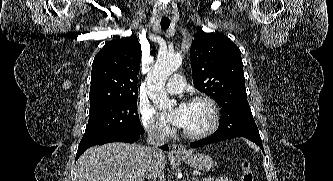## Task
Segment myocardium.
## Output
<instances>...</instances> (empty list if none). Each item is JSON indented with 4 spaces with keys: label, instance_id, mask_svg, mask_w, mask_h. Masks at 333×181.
Segmentation results:
<instances>
[{
    "label": "myocardium",
    "instance_id": "1",
    "mask_svg": "<svg viewBox=\"0 0 333 181\" xmlns=\"http://www.w3.org/2000/svg\"><path fill=\"white\" fill-rule=\"evenodd\" d=\"M204 103L210 112V122L206 128L198 132H187L183 130V135L189 139H201L212 134L218 127L220 121L219 109L216 102L208 96H195L189 100V104Z\"/></svg>",
    "mask_w": 333,
    "mask_h": 181
}]
</instances>
